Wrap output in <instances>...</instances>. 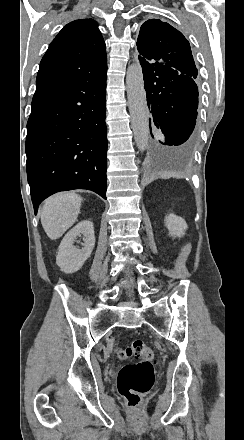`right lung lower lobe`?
<instances>
[{"label":"right lung lower lobe","instance_id":"98d812e1","mask_svg":"<svg viewBox=\"0 0 244 440\" xmlns=\"http://www.w3.org/2000/svg\"><path fill=\"white\" fill-rule=\"evenodd\" d=\"M106 77L107 65L37 84L25 144L35 214L59 191L106 199Z\"/></svg>","mask_w":244,"mask_h":440}]
</instances>
